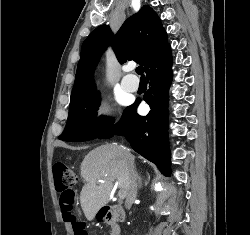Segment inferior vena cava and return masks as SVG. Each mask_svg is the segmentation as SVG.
Returning a JSON list of instances; mask_svg holds the SVG:
<instances>
[{
  "label": "inferior vena cava",
  "instance_id": "602c4592",
  "mask_svg": "<svg viewBox=\"0 0 250 235\" xmlns=\"http://www.w3.org/2000/svg\"><path fill=\"white\" fill-rule=\"evenodd\" d=\"M120 151H121V157L123 159L124 162H126L129 166V176H130V183H129V188H128V192H127V198H126V202H125V206L126 208L130 209L133 201L136 198L137 195V173L135 171V167L133 164V157L132 155L129 153L128 149L120 146Z\"/></svg>",
  "mask_w": 250,
  "mask_h": 235
}]
</instances>
